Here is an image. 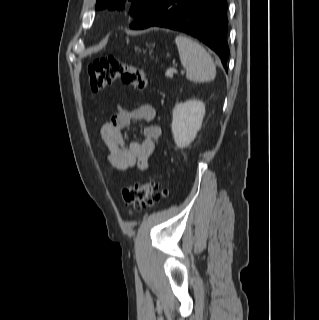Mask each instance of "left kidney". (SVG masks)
<instances>
[{"label":"left kidney","instance_id":"5707ae66","mask_svg":"<svg viewBox=\"0 0 319 320\" xmlns=\"http://www.w3.org/2000/svg\"><path fill=\"white\" fill-rule=\"evenodd\" d=\"M205 105L199 100L180 103L173 109L172 133L177 147L185 148L201 129Z\"/></svg>","mask_w":319,"mask_h":320}]
</instances>
